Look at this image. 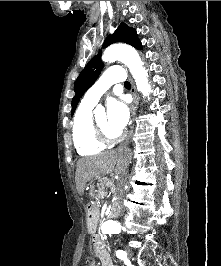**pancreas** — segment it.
<instances>
[{
	"label": "pancreas",
	"mask_w": 221,
	"mask_h": 266,
	"mask_svg": "<svg viewBox=\"0 0 221 266\" xmlns=\"http://www.w3.org/2000/svg\"><path fill=\"white\" fill-rule=\"evenodd\" d=\"M97 186H98V191H97L98 192V196L99 197H104V196L107 195V189L109 187H112L113 184H112V182L109 179L103 178V179L99 180V183H98Z\"/></svg>",
	"instance_id": "pancreas-1"
}]
</instances>
